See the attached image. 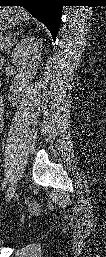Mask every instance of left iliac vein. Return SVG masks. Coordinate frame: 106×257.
I'll return each instance as SVG.
<instances>
[{
	"label": "left iliac vein",
	"instance_id": "1",
	"mask_svg": "<svg viewBox=\"0 0 106 257\" xmlns=\"http://www.w3.org/2000/svg\"><path fill=\"white\" fill-rule=\"evenodd\" d=\"M15 192H16V184L13 183L10 185V187L8 188V190L6 192L7 201H9L10 199L13 198V196L15 195Z\"/></svg>",
	"mask_w": 106,
	"mask_h": 257
}]
</instances>
